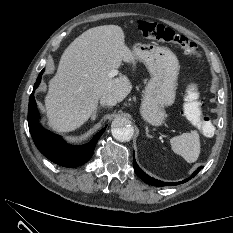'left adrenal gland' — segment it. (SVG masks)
<instances>
[{"label":"left adrenal gland","mask_w":233,"mask_h":233,"mask_svg":"<svg viewBox=\"0 0 233 233\" xmlns=\"http://www.w3.org/2000/svg\"><path fill=\"white\" fill-rule=\"evenodd\" d=\"M145 130H146V136L152 138L153 136L149 134V130L147 126L145 127Z\"/></svg>","instance_id":"a2214340"}]
</instances>
